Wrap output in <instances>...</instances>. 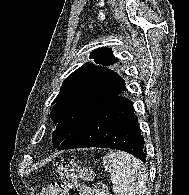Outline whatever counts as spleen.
Returning a JSON list of instances; mask_svg holds the SVG:
<instances>
[{
    "instance_id": "spleen-1",
    "label": "spleen",
    "mask_w": 189,
    "mask_h": 195,
    "mask_svg": "<svg viewBox=\"0 0 189 195\" xmlns=\"http://www.w3.org/2000/svg\"><path fill=\"white\" fill-rule=\"evenodd\" d=\"M103 167L110 173L116 195H144L148 175L145 166L134 156L123 152H110L103 158Z\"/></svg>"
}]
</instances>
